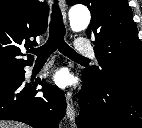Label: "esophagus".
I'll list each match as a JSON object with an SVG mask.
<instances>
[{
  "label": "esophagus",
  "mask_w": 142,
  "mask_h": 128,
  "mask_svg": "<svg viewBox=\"0 0 142 128\" xmlns=\"http://www.w3.org/2000/svg\"><path fill=\"white\" fill-rule=\"evenodd\" d=\"M60 5H61V9H62L64 18H65L66 13H65L64 0H60ZM65 97H66V102H67L66 117H67V119H69V121L73 122L75 120L76 112H75L74 101H73L71 92H66Z\"/></svg>",
  "instance_id": "1"
}]
</instances>
